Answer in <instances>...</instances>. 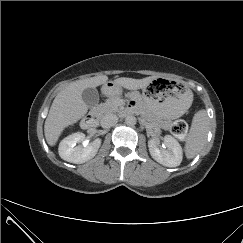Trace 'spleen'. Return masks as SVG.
Returning <instances> with one entry per match:
<instances>
[{
	"mask_svg": "<svg viewBox=\"0 0 243 243\" xmlns=\"http://www.w3.org/2000/svg\"><path fill=\"white\" fill-rule=\"evenodd\" d=\"M209 129V117L206 110H199L193 117L190 131L186 137L185 155L194 158L204 147Z\"/></svg>",
	"mask_w": 243,
	"mask_h": 243,
	"instance_id": "3e777b00",
	"label": "spleen"
}]
</instances>
